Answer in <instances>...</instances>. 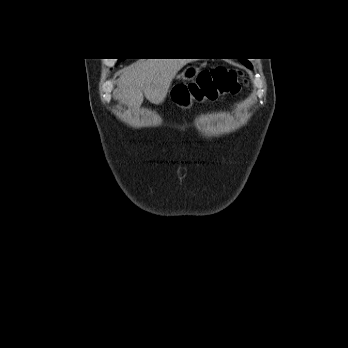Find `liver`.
<instances>
[{"label": "liver", "instance_id": "obj_1", "mask_svg": "<svg viewBox=\"0 0 348 348\" xmlns=\"http://www.w3.org/2000/svg\"><path fill=\"white\" fill-rule=\"evenodd\" d=\"M188 59H141L123 70L116 97L128 107L138 108L144 96L154 104L164 101L171 82Z\"/></svg>", "mask_w": 348, "mask_h": 348}]
</instances>
